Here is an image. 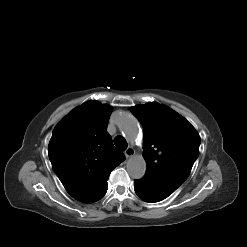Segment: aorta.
I'll list each match as a JSON object with an SVG mask.
<instances>
[{
	"label": "aorta",
	"mask_w": 247,
	"mask_h": 247,
	"mask_svg": "<svg viewBox=\"0 0 247 247\" xmlns=\"http://www.w3.org/2000/svg\"><path fill=\"white\" fill-rule=\"evenodd\" d=\"M117 125L121 133L131 143L135 144L139 136V125L137 119L127 112H123L117 117ZM146 163L143 157L133 156L127 162V171L134 179H140L144 176Z\"/></svg>",
	"instance_id": "obj_1"
}]
</instances>
